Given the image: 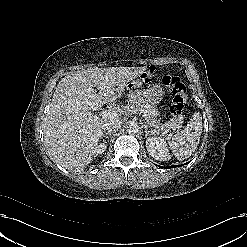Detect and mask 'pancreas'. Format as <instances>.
Masks as SVG:
<instances>
[{
  "instance_id": "cf45deb5",
  "label": "pancreas",
  "mask_w": 247,
  "mask_h": 247,
  "mask_svg": "<svg viewBox=\"0 0 247 247\" xmlns=\"http://www.w3.org/2000/svg\"><path fill=\"white\" fill-rule=\"evenodd\" d=\"M131 105H128V109L136 110L142 113L145 117L146 122L151 126L155 128H169L171 126L176 125L179 122V119L172 118L165 124H160V119L158 117L160 116V113L157 109V107L152 104L148 103L146 100H144L142 97H139L137 95H134L131 100Z\"/></svg>"
}]
</instances>
